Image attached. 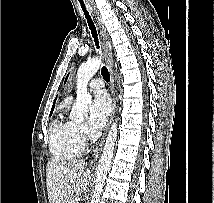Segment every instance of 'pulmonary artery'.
Segmentation results:
<instances>
[{"mask_svg": "<svg viewBox=\"0 0 214 203\" xmlns=\"http://www.w3.org/2000/svg\"><path fill=\"white\" fill-rule=\"evenodd\" d=\"M104 87V83L100 78H94L89 82V88L101 89Z\"/></svg>", "mask_w": 214, "mask_h": 203, "instance_id": "1", "label": "pulmonary artery"}]
</instances>
